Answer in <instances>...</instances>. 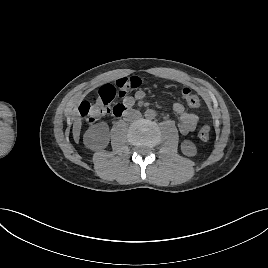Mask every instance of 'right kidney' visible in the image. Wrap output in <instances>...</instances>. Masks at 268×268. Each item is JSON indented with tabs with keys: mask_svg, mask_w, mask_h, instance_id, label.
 <instances>
[{
	"mask_svg": "<svg viewBox=\"0 0 268 268\" xmlns=\"http://www.w3.org/2000/svg\"><path fill=\"white\" fill-rule=\"evenodd\" d=\"M84 144L87 148L103 149L109 144V128L106 123L91 126L84 134Z\"/></svg>",
	"mask_w": 268,
	"mask_h": 268,
	"instance_id": "ca27d5eb",
	"label": "right kidney"
}]
</instances>
